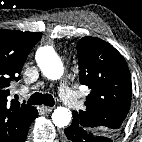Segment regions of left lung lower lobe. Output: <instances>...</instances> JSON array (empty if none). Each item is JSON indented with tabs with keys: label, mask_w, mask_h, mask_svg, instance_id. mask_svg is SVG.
I'll list each match as a JSON object with an SVG mask.
<instances>
[{
	"label": "left lung lower lobe",
	"mask_w": 142,
	"mask_h": 142,
	"mask_svg": "<svg viewBox=\"0 0 142 142\" xmlns=\"http://www.w3.org/2000/svg\"><path fill=\"white\" fill-rule=\"evenodd\" d=\"M64 132L67 142H113L110 136L96 134L92 130L79 126L74 121Z\"/></svg>",
	"instance_id": "1"
}]
</instances>
